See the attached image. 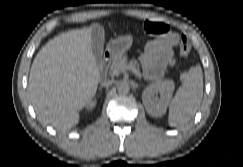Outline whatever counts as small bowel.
Segmentation results:
<instances>
[{"mask_svg":"<svg viewBox=\"0 0 243 167\" xmlns=\"http://www.w3.org/2000/svg\"><path fill=\"white\" fill-rule=\"evenodd\" d=\"M178 37L173 32L165 33L160 38L150 41L140 56L145 78L156 80L162 77L165 70L175 65L173 48Z\"/></svg>","mask_w":243,"mask_h":167,"instance_id":"obj_1","label":"small bowel"}]
</instances>
